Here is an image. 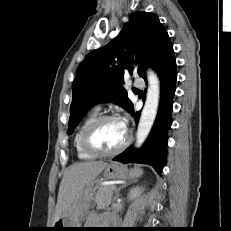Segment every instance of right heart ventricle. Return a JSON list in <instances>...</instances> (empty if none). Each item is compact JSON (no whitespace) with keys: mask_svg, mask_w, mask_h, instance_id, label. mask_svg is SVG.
Listing matches in <instances>:
<instances>
[{"mask_svg":"<svg viewBox=\"0 0 231 231\" xmlns=\"http://www.w3.org/2000/svg\"><path fill=\"white\" fill-rule=\"evenodd\" d=\"M97 115H98L97 110L90 112L82 120V122L79 124V126L75 131L74 138H73V145L75 148L76 155L80 160L88 161L94 159L95 157L94 155L85 151V149L83 148L82 135L85 128L97 117Z\"/></svg>","mask_w":231,"mask_h":231,"instance_id":"right-heart-ventricle-1","label":"right heart ventricle"}]
</instances>
